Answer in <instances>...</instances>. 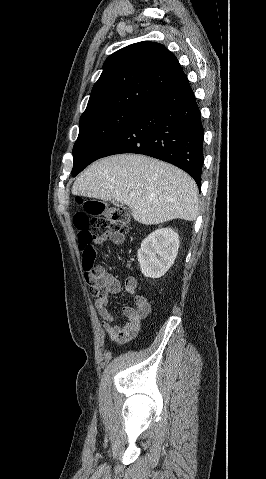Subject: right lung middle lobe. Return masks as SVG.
<instances>
[{
	"instance_id": "right-lung-middle-lobe-1",
	"label": "right lung middle lobe",
	"mask_w": 266,
	"mask_h": 479,
	"mask_svg": "<svg viewBox=\"0 0 266 479\" xmlns=\"http://www.w3.org/2000/svg\"><path fill=\"white\" fill-rule=\"evenodd\" d=\"M142 109H115L80 118V130L73 147L75 177L97 160L103 150L140 113Z\"/></svg>"
}]
</instances>
